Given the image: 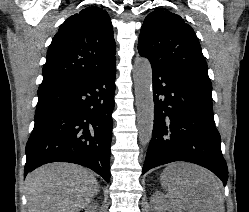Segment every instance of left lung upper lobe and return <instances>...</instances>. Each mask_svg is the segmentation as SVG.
<instances>
[{
	"instance_id": "left-lung-upper-lobe-1",
	"label": "left lung upper lobe",
	"mask_w": 249,
	"mask_h": 212,
	"mask_svg": "<svg viewBox=\"0 0 249 212\" xmlns=\"http://www.w3.org/2000/svg\"><path fill=\"white\" fill-rule=\"evenodd\" d=\"M138 50L153 64L211 83L198 38L177 14L162 9L148 14L141 28Z\"/></svg>"
}]
</instances>
